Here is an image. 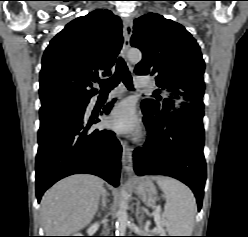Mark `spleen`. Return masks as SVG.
<instances>
[{
    "mask_svg": "<svg viewBox=\"0 0 248 237\" xmlns=\"http://www.w3.org/2000/svg\"><path fill=\"white\" fill-rule=\"evenodd\" d=\"M166 204L164 216L170 236H191L196 214V201L191 190L181 182L168 177H158Z\"/></svg>",
    "mask_w": 248,
    "mask_h": 237,
    "instance_id": "obj_1",
    "label": "spleen"
}]
</instances>
